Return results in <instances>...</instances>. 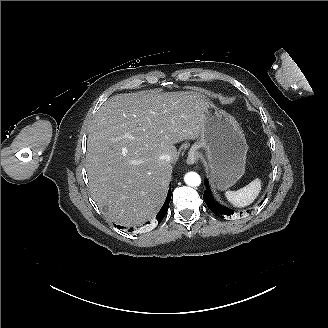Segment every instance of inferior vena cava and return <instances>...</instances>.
I'll use <instances>...</instances> for the list:
<instances>
[{
  "instance_id": "602c4592",
  "label": "inferior vena cava",
  "mask_w": 328,
  "mask_h": 328,
  "mask_svg": "<svg viewBox=\"0 0 328 328\" xmlns=\"http://www.w3.org/2000/svg\"><path fill=\"white\" fill-rule=\"evenodd\" d=\"M160 158L164 159V160H170L171 159L169 154H163Z\"/></svg>"
}]
</instances>
